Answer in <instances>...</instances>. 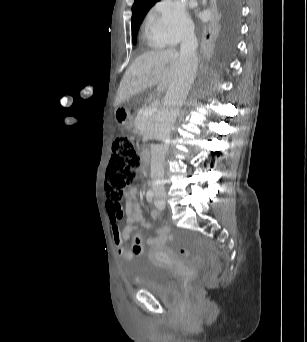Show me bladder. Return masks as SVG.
<instances>
[{"label": "bladder", "mask_w": 307, "mask_h": 342, "mask_svg": "<svg viewBox=\"0 0 307 342\" xmlns=\"http://www.w3.org/2000/svg\"><path fill=\"white\" fill-rule=\"evenodd\" d=\"M141 288L159 297H168L178 291L180 278L177 272L164 264L151 263L140 279Z\"/></svg>", "instance_id": "31cf9c89"}]
</instances>
